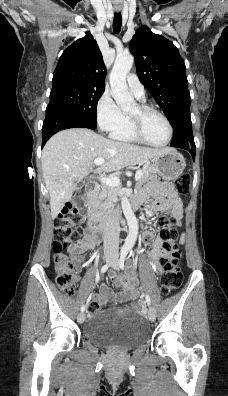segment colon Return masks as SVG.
Here are the masks:
<instances>
[{
    "instance_id": "5ec220e1",
    "label": "colon",
    "mask_w": 228,
    "mask_h": 396,
    "mask_svg": "<svg viewBox=\"0 0 228 396\" xmlns=\"http://www.w3.org/2000/svg\"><path fill=\"white\" fill-rule=\"evenodd\" d=\"M175 189L180 194L186 195L190 189V175L182 174L174 182ZM84 197L79 195L75 200L69 202L59 214L56 225L58 238L53 242L54 269L56 283L66 294L72 295L75 290V270L74 263L67 252L69 247L80 235L82 224H79V209L82 206ZM175 219L163 214L159 217V236L163 241L164 256L162 265L164 271L160 278V287L164 295H170L182 284V273L179 265L181 253L176 241L178 232L174 227ZM101 305L98 301H91L87 306V312L91 316L100 313Z\"/></svg>"
}]
</instances>
